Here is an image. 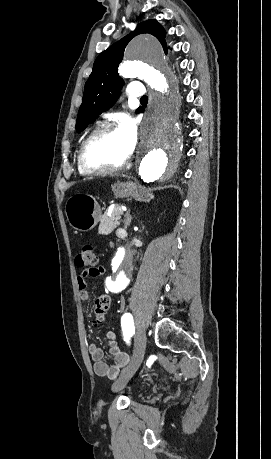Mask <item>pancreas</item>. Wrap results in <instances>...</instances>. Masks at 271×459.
I'll return each instance as SVG.
<instances>
[{
    "label": "pancreas",
    "mask_w": 271,
    "mask_h": 459,
    "mask_svg": "<svg viewBox=\"0 0 271 459\" xmlns=\"http://www.w3.org/2000/svg\"><path fill=\"white\" fill-rule=\"evenodd\" d=\"M107 214L108 212H105L100 220L99 233H110V231L116 228L117 224H120V222L116 220V215L122 214L121 208H113L111 216H107Z\"/></svg>",
    "instance_id": "obj_1"
}]
</instances>
